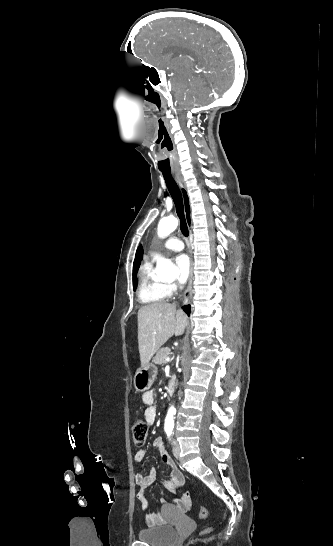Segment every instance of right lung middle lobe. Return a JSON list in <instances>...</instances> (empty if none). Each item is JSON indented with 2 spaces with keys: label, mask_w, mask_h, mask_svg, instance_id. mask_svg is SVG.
<instances>
[{
  "label": "right lung middle lobe",
  "mask_w": 333,
  "mask_h": 546,
  "mask_svg": "<svg viewBox=\"0 0 333 546\" xmlns=\"http://www.w3.org/2000/svg\"><path fill=\"white\" fill-rule=\"evenodd\" d=\"M137 270H138V264L134 263V265H133V280H135V283L133 284L134 290H136V287H137V281L135 279V274H136Z\"/></svg>",
  "instance_id": "obj_1"
}]
</instances>
